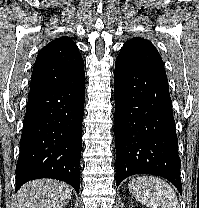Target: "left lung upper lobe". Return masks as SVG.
<instances>
[{
	"instance_id": "1",
	"label": "left lung upper lobe",
	"mask_w": 199,
	"mask_h": 208,
	"mask_svg": "<svg viewBox=\"0 0 199 208\" xmlns=\"http://www.w3.org/2000/svg\"><path fill=\"white\" fill-rule=\"evenodd\" d=\"M137 67L167 79L163 61L155 46L143 38L127 41L118 55Z\"/></svg>"
}]
</instances>
